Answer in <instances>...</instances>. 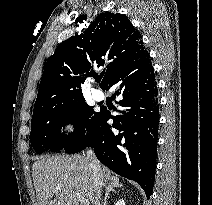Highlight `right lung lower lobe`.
Segmentation results:
<instances>
[{"mask_svg":"<svg viewBox=\"0 0 212 205\" xmlns=\"http://www.w3.org/2000/svg\"><path fill=\"white\" fill-rule=\"evenodd\" d=\"M109 88L114 89V97H120L116 103L124 110L116 116L101 110L88 133L64 148L65 152L92 147L105 166L139 183L149 199L155 180L159 127L158 89L149 53L122 67L105 87ZM110 118L119 133H113L107 124Z\"/></svg>","mask_w":212,"mask_h":205,"instance_id":"98d812e1","label":"right lung lower lobe"}]
</instances>
